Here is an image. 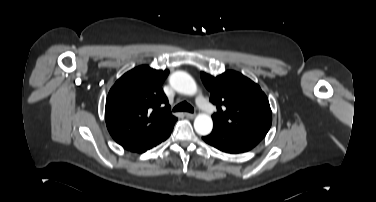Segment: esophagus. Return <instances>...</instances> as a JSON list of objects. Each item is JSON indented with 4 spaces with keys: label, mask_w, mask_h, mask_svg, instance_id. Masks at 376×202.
<instances>
[{
    "label": "esophagus",
    "mask_w": 376,
    "mask_h": 202,
    "mask_svg": "<svg viewBox=\"0 0 376 202\" xmlns=\"http://www.w3.org/2000/svg\"><path fill=\"white\" fill-rule=\"evenodd\" d=\"M185 116L189 119H193L195 117V114L194 113H189V112H186L185 113Z\"/></svg>",
    "instance_id": "obj_1"
}]
</instances>
